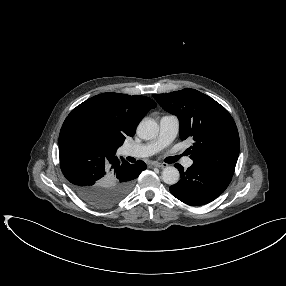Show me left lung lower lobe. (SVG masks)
<instances>
[{"label":"left lung lower lobe","instance_id":"1","mask_svg":"<svg viewBox=\"0 0 286 286\" xmlns=\"http://www.w3.org/2000/svg\"><path fill=\"white\" fill-rule=\"evenodd\" d=\"M180 172V181L169 190L173 196L191 206L207 204L222 194L232 176L204 166L192 165L184 172L183 167L175 165Z\"/></svg>","mask_w":286,"mask_h":286}]
</instances>
